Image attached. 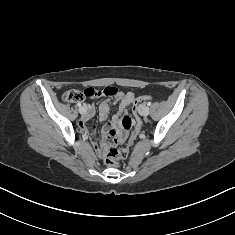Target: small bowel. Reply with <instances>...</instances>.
Returning <instances> with one entry per match:
<instances>
[{
	"label": "small bowel",
	"instance_id": "c3829d8e",
	"mask_svg": "<svg viewBox=\"0 0 235 235\" xmlns=\"http://www.w3.org/2000/svg\"><path fill=\"white\" fill-rule=\"evenodd\" d=\"M114 91H115L114 94L110 95L111 99L102 102L99 106V118L101 121L106 122L108 119L109 112H110L111 101L113 100L114 102L119 104L118 113L112 118L111 121H107L105 123L104 131H108L112 127H114L116 124H118L120 120V116L127 112L128 107L134 101V94L132 92L124 93V92L117 91V89L115 88H114ZM84 107L86 109V115L84 116V118L80 120L79 126L80 128L89 132L91 129H93V125L89 124V120L93 117L95 113V108L91 104H84Z\"/></svg>",
	"mask_w": 235,
	"mask_h": 235
}]
</instances>
